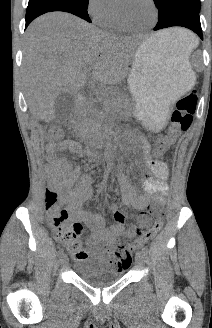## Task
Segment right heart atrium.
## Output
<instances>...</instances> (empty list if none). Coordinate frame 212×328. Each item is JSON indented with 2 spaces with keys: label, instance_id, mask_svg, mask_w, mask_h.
I'll use <instances>...</instances> for the list:
<instances>
[{
  "label": "right heart atrium",
  "instance_id": "1",
  "mask_svg": "<svg viewBox=\"0 0 212 328\" xmlns=\"http://www.w3.org/2000/svg\"><path fill=\"white\" fill-rule=\"evenodd\" d=\"M115 12L112 0H88L87 13L97 23H101Z\"/></svg>",
  "mask_w": 212,
  "mask_h": 328
}]
</instances>
